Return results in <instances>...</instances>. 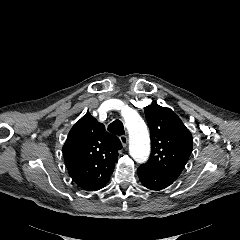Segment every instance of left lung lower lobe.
Masks as SVG:
<instances>
[{
    "label": "left lung lower lobe",
    "instance_id": "0a47b994",
    "mask_svg": "<svg viewBox=\"0 0 240 240\" xmlns=\"http://www.w3.org/2000/svg\"><path fill=\"white\" fill-rule=\"evenodd\" d=\"M139 179L144 187L153 190L161 191L173 184V180L159 173L146 164L141 165L137 169Z\"/></svg>",
    "mask_w": 240,
    "mask_h": 240
}]
</instances>
